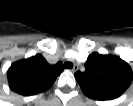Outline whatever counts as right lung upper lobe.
Masks as SVG:
<instances>
[{
	"label": "right lung upper lobe",
	"instance_id": "right-lung-upper-lobe-1",
	"mask_svg": "<svg viewBox=\"0 0 133 106\" xmlns=\"http://www.w3.org/2000/svg\"><path fill=\"white\" fill-rule=\"evenodd\" d=\"M63 71L62 63H47L41 54L14 62L7 71L9 87L24 96L49 89Z\"/></svg>",
	"mask_w": 133,
	"mask_h": 106
}]
</instances>
